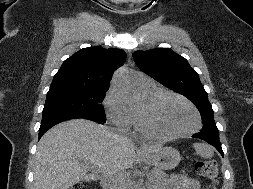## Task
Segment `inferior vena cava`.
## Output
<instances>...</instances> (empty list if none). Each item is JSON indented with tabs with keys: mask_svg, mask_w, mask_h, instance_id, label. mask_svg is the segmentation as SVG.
Segmentation results:
<instances>
[{
	"mask_svg": "<svg viewBox=\"0 0 253 189\" xmlns=\"http://www.w3.org/2000/svg\"><path fill=\"white\" fill-rule=\"evenodd\" d=\"M128 177L124 173H115L109 176L108 189H125Z\"/></svg>",
	"mask_w": 253,
	"mask_h": 189,
	"instance_id": "1",
	"label": "inferior vena cava"
}]
</instances>
